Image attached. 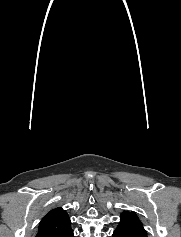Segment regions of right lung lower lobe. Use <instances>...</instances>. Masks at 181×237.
Masks as SVG:
<instances>
[{"label": "right lung lower lobe", "mask_w": 181, "mask_h": 237, "mask_svg": "<svg viewBox=\"0 0 181 237\" xmlns=\"http://www.w3.org/2000/svg\"><path fill=\"white\" fill-rule=\"evenodd\" d=\"M68 237H74L73 232H71V233L68 235Z\"/></svg>", "instance_id": "right-lung-lower-lobe-1"}]
</instances>
